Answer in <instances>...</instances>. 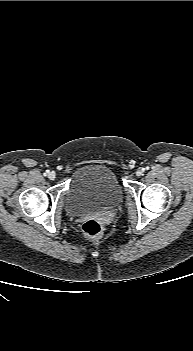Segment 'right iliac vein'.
I'll list each match as a JSON object with an SVG mask.
<instances>
[{"label":"right iliac vein","mask_w":193,"mask_h":351,"mask_svg":"<svg viewBox=\"0 0 193 351\" xmlns=\"http://www.w3.org/2000/svg\"><path fill=\"white\" fill-rule=\"evenodd\" d=\"M48 178H49L50 180H54V179L56 178L55 172H50V173L48 174Z\"/></svg>","instance_id":"1"}]
</instances>
